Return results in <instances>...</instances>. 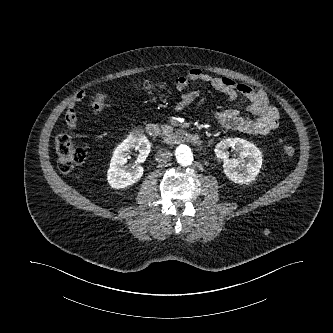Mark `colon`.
<instances>
[{
	"mask_svg": "<svg viewBox=\"0 0 333 333\" xmlns=\"http://www.w3.org/2000/svg\"><path fill=\"white\" fill-rule=\"evenodd\" d=\"M158 85L154 80H146L143 83L145 88H150L152 86ZM93 108L95 110H100L102 104L99 102H93ZM55 154L57 156L58 167L63 173H70L78 166H81L86 161V152L79 148L71 136L64 132L60 134L54 144ZM296 154V150L292 145H285L283 147V156L285 158H292Z\"/></svg>",
	"mask_w": 333,
	"mask_h": 333,
	"instance_id": "obj_1",
	"label": "colon"
}]
</instances>
